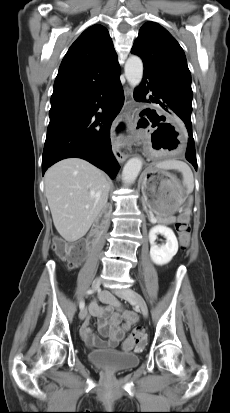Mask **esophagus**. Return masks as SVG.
Returning <instances> with one entry per match:
<instances>
[{"instance_id":"34e87169","label":"esophagus","mask_w":230,"mask_h":413,"mask_svg":"<svg viewBox=\"0 0 230 413\" xmlns=\"http://www.w3.org/2000/svg\"><path fill=\"white\" fill-rule=\"evenodd\" d=\"M125 94V112H134L133 109L130 108V104L133 102V90L132 88L126 86L124 89ZM114 153L118 162L122 163L128 158V154L122 153L119 149L117 144L114 145Z\"/></svg>"}]
</instances>
